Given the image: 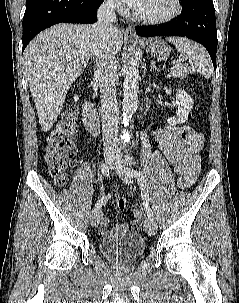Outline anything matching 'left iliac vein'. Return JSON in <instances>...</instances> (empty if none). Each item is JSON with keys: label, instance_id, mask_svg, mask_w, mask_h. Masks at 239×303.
<instances>
[{"label": "left iliac vein", "instance_id": "1", "mask_svg": "<svg viewBox=\"0 0 239 303\" xmlns=\"http://www.w3.org/2000/svg\"><path fill=\"white\" fill-rule=\"evenodd\" d=\"M115 170L119 177L127 184H133L134 170L122 165V163L116 159ZM144 229L150 236L154 235L157 231V224L154 219H146L144 222Z\"/></svg>", "mask_w": 239, "mask_h": 303}]
</instances>
